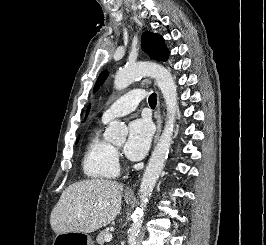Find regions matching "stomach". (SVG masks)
I'll return each mask as SVG.
<instances>
[{
    "mask_svg": "<svg viewBox=\"0 0 266 245\" xmlns=\"http://www.w3.org/2000/svg\"><path fill=\"white\" fill-rule=\"evenodd\" d=\"M127 205L131 203V199L125 197ZM72 238V239H71ZM74 241V245H93V241L87 233H56L57 242H71Z\"/></svg>",
    "mask_w": 266,
    "mask_h": 245,
    "instance_id": "1",
    "label": "stomach"
}]
</instances>
